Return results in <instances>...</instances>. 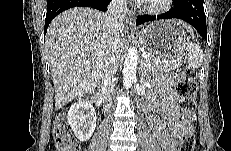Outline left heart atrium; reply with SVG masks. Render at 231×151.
I'll return each mask as SVG.
<instances>
[{"label": "left heart atrium", "mask_w": 231, "mask_h": 151, "mask_svg": "<svg viewBox=\"0 0 231 151\" xmlns=\"http://www.w3.org/2000/svg\"><path fill=\"white\" fill-rule=\"evenodd\" d=\"M135 2L136 3H146V2H148V0H136Z\"/></svg>", "instance_id": "39dd6f15"}]
</instances>
